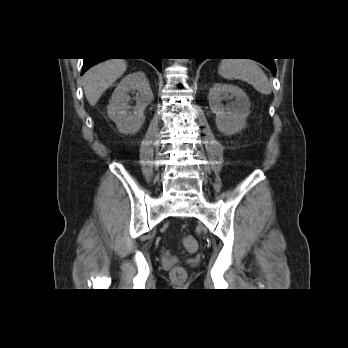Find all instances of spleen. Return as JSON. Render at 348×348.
I'll return each mask as SVG.
<instances>
[{"mask_svg":"<svg viewBox=\"0 0 348 348\" xmlns=\"http://www.w3.org/2000/svg\"><path fill=\"white\" fill-rule=\"evenodd\" d=\"M218 73L225 79L246 81L263 95H269L272 91L268 77L254 60L224 59L218 67Z\"/></svg>","mask_w":348,"mask_h":348,"instance_id":"1","label":"spleen"}]
</instances>
